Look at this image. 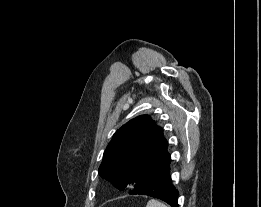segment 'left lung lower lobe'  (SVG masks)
Segmentation results:
<instances>
[{"mask_svg": "<svg viewBox=\"0 0 261 207\" xmlns=\"http://www.w3.org/2000/svg\"><path fill=\"white\" fill-rule=\"evenodd\" d=\"M130 194L151 196L166 202L171 207H179L178 191L172 184L170 167L135 186Z\"/></svg>", "mask_w": 261, "mask_h": 207, "instance_id": "1", "label": "left lung lower lobe"}]
</instances>
